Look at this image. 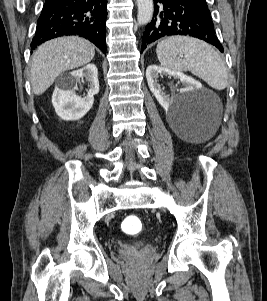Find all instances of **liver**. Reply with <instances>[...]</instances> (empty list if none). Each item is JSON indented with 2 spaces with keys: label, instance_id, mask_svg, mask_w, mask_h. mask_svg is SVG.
I'll return each mask as SVG.
<instances>
[{
  "label": "liver",
  "instance_id": "6515ba94",
  "mask_svg": "<svg viewBox=\"0 0 267 301\" xmlns=\"http://www.w3.org/2000/svg\"><path fill=\"white\" fill-rule=\"evenodd\" d=\"M94 55V46L80 37H60L40 45L31 63L34 94L42 95L61 73L86 65Z\"/></svg>",
  "mask_w": 267,
  "mask_h": 301
}]
</instances>
